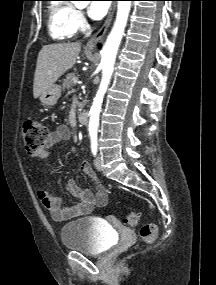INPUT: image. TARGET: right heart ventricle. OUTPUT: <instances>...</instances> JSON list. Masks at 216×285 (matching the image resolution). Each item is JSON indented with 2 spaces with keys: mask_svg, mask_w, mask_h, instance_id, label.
I'll use <instances>...</instances> for the list:
<instances>
[{
  "mask_svg": "<svg viewBox=\"0 0 216 285\" xmlns=\"http://www.w3.org/2000/svg\"><path fill=\"white\" fill-rule=\"evenodd\" d=\"M75 11L70 3H50L48 7V31L53 40H68L76 34Z\"/></svg>",
  "mask_w": 216,
  "mask_h": 285,
  "instance_id": "1",
  "label": "right heart ventricle"
}]
</instances>
